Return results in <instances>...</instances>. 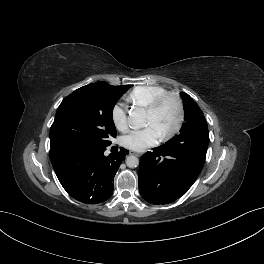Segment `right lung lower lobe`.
<instances>
[{
	"mask_svg": "<svg viewBox=\"0 0 264 264\" xmlns=\"http://www.w3.org/2000/svg\"><path fill=\"white\" fill-rule=\"evenodd\" d=\"M107 146L66 142L50 148V159L63 188L83 203L96 204L111 197L113 180L128 150L104 155Z\"/></svg>",
	"mask_w": 264,
	"mask_h": 264,
	"instance_id": "98d812e1",
	"label": "right lung lower lobe"
}]
</instances>
